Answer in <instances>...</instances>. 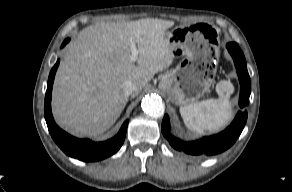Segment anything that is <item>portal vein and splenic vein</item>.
<instances>
[{
    "label": "portal vein and splenic vein",
    "instance_id": "obj_1",
    "mask_svg": "<svg viewBox=\"0 0 292 192\" xmlns=\"http://www.w3.org/2000/svg\"><path fill=\"white\" fill-rule=\"evenodd\" d=\"M138 55H139V51L136 47V40L133 39L131 40V56H130V60L132 62H135L138 58Z\"/></svg>",
    "mask_w": 292,
    "mask_h": 192
}]
</instances>
